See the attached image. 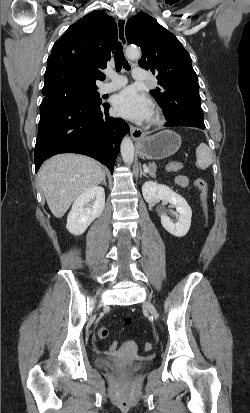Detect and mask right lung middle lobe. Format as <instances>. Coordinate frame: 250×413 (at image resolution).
Segmentation results:
<instances>
[{
    "label": "right lung middle lobe",
    "instance_id": "1",
    "mask_svg": "<svg viewBox=\"0 0 250 413\" xmlns=\"http://www.w3.org/2000/svg\"><path fill=\"white\" fill-rule=\"evenodd\" d=\"M97 88L70 87L52 91L44 95V100H82L90 103L101 104Z\"/></svg>",
    "mask_w": 250,
    "mask_h": 413
}]
</instances>
